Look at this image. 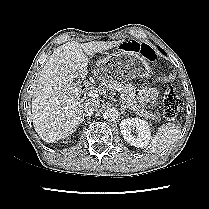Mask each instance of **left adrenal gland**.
<instances>
[{
    "label": "left adrenal gland",
    "mask_w": 209,
    "mask_h": 209,
    "mask_svg": "<svg viewBox=\"0 0 209 209\" xmlns=\"http://www.w3.org/2000/svg\"><path fill=\"white\" fill-rule=\"evenodd\" d=\"M121 103V109H122V112H125L126 108H128L124 102H120Z\"/></svg>",
    "instance_id": "a2214340"
}]
</instances>
